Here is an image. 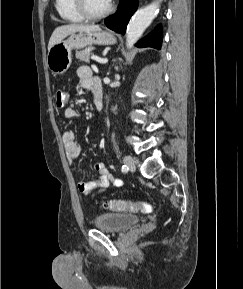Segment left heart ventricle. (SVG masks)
<instances>
[{"label": "left heart ventricle", "mask_w": 243, "mask_h": 289, "mask_svg": "<svg viewBox=\"0 0 243 289\" xmlns=\"http://www.w3.org/2000/svg\"><path fill=\"white\" fill-rule=\"evenodd\" d=\"M86 2L92 13H99L108 7L110 0H86Z\"/></svg>", "instance_id": "b2bd125f"}]
</instances>
